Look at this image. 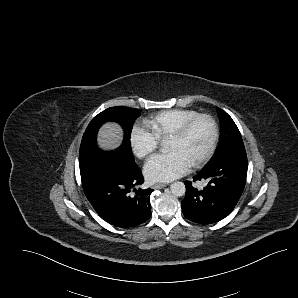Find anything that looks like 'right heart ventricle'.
Segmentation results:
<instances>
[{"label":"right heart ventricle","instance_id":"right-heart-ventricle-1","mask_svg":"<svg viewBox=\"0 0 298 298\" xmlns=\"http://www.w3.org/2000/svg\"><path fill=\"white\" fill-rule=\"evenodd\" d=\"M197 115H199V112L193 109H170L160 111L150 118L145 119L144 122L159 139H164L180 123Z\"/></svg>","mask_w":298,"mask_h":298}]
</instances>
